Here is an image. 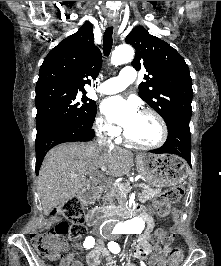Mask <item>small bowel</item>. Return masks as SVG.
Instances as JSON below:
<instances>
[{"label":"small bowel","instance_id":"c3829d8e","mask_svg":"<svg viewBox=\"0 0 221 266\" xmlns=\"http://www.w3.org/2000/svg\"><path fill=\"white\" fill-rule=\"evenodd\" d=\"M150 229L151 225L148 224L145 232L138 236L137 242L134 244L132 249V257L145 259L146 257H148L150 252L153 251V254L149 259L150 266H167L169 263V261L167 260V257L169 255V248H163L158 245L151 246L148 241ZM101 259L105 260L106 266H117L113 256L99 246L92 250L87 256V262L89 266H98ZM73 266H82V264L78 261H75L73 263ZM126 266L136 265L130 258L126 263Z\"/></svg>","mask_w":221,"mask_h":266}]
</instances>
